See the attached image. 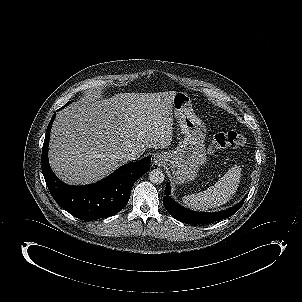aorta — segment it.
I'll list each match as a JSON object with an SVG mask.
<instances>
[{"label":"aorta","mask_w":302,"mask_h":302,"mask_svg":"<svg viewBox=\"0 0 302 302\" xmlns=\"http://www.w3.org/2000/svg\"><path fill=\"white\" fill-rule=\"evenodd\" d=\"M165 179V175L161 169H153L149 172V180L153 184H161Z\"/></svg>","instance_id":"obj_1"}]
</instances>
